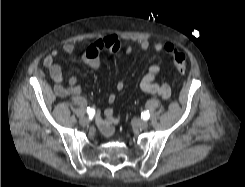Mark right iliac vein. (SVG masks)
Instances as JSON below:
<instances>
[{
	"label": "right iliac vein",
	"instance_id": "63e3f726",
	"mask_svg": "<svg viewBox=\"0 0 245 187\" xmlns=\"http://www.w3.org/2000/svg\"><path fill=\"white\" fill-rule=\"evenodd\" d=\"M79 122L82 126H86L89 124V120L86 117L80 118Z\"/></svg>",
	"mask_w": 245,
	"mask_h": 187
}]
</instances>
